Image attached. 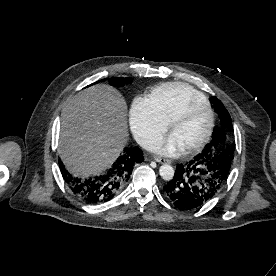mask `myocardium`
<instances>
[{
	"label": "myocardium",
	"instance_id": "f54148a6",
	"mask_svg": "<svg viewBox=\"0 0 276 276\" xmlns=\"http://www.w3.org/2000/svg\"><path fill=\"white\" fill-rule=\"evenodd\" d=\"M200 104L204 105L209 112V116H210L209 124L203 137L195 144L186 148V151L190 153L196 152L202 149L212 136L214 125H215V111L212 105L206 99L191 100L186 104V106L183 109H181L177 114H175L169 122L170 129L173 131L175 125L178 122L185 119L191 113V111Z\"/></svg>",
	"mask_w": 276,
	"mask_h": 276
}]
</instances>
